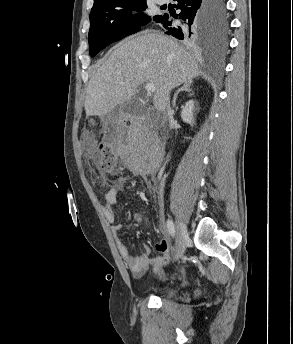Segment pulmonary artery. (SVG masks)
<instances>
[{
	"instance_id": "obj_1",
	"label": "pulmonary artery",
	"mask_w": 293,
	"mask_h": 344,
	"mask_svg": "<svg viewBox=\"0 0 293 344\" xmlns=\"http://www.w3.org/2000/svg\"><path fill=\"white\" fill-rule=\"evenodd\" d=\"M168 0H156V2L157 3H159V4H164V3H166Z\"/></svg>"
}]
</instances>
